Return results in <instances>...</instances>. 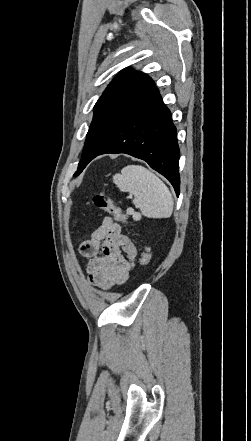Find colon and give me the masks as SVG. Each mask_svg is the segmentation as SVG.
I'll list each match as a JSON object with an SVG mask.
<instances>
[{
	"instance_id": "obj_1",
	"label": "colon",
	"mask_w": 251,
	"mask_h": 441,
	"mask_svg": "<svg viewBox=\"0 0 251 441\" xmlns=\"http://www.w3.org/2000/svg\"><path fill=\"white\" fill-rule=\"evenodd\" d=\"M93 203L97 208L112 215L116 220L121 222L128 221V214L124 213L119 207L115 206L104 191H99L94 194ZM150 259V251L147 247H144L141 252L140 263L143 266H146L149 264Z\"/></svg>"
}]
</instances>
